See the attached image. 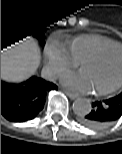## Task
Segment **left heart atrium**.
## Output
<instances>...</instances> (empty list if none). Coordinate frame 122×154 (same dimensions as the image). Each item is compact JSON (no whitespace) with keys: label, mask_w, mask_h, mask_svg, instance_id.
<instances>
[{"label":"left heart atrium","mask_w":122,"mask_h":154,"mask_svg":"<svg viewBox=\"0 0 122 154\" xmlns=\"http://www.w3.org/2000/svg\"><path fill=\"white\" fill-rule=\"evenodd\" d=\"M62 82L64 83V85H66L68 88L72 90L83 91V92L90 90L81 72L76 74L70 73L64 75L62 77Z\"/></svg>","instance_id":"39dd6f15"}]
</instances>
